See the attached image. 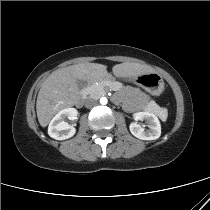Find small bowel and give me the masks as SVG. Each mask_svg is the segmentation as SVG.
<instances>
[{
	"label": "small bowel",
	"instance_id": "c3829d8e",
	"mask_svg": "<svg viewBox=\"0 0 210 210\" xmlns=\"http://www.w3.org/2000/svg\"><path fill=\"white\" fill-rule=\"evenodd\" d=\"M131 93H132V91H128V94H131ZM115 100L117 102L123 101L127 110H134V108H135L134 103L130 99L125 98L124 95H122V94L117 95L115 97Z\"/></svg>",
	"mask_w": 210,
	"mask_h": 210
}]
</instances>
